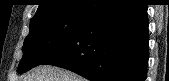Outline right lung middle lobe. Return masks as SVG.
<instances>
[{
  "label": "right lung middle lobe",
  "instance_id": "1",
  "mask_svg": "<svg viewBox=\"0 0 169 81\" xmlns=\"http://www.w3.org/2000/svg\"><path fill=\"white\" fill-rule=\"evenodd\" d=\"M87 20L85 17L61 15L30 22V32L23 44L18 73L40 65L65 45Z\"/></svg>",
  "mask_w": 169,
  "mask_h": 81
}]
</instances>
